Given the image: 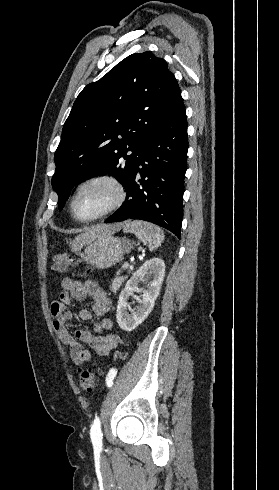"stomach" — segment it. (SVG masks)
Here are the masks:
<instances>
[{
    "instance_id": "obj_1",
    "label": "stomach",
    "mask_w": 279,
    "mask_h": 490,
    "mask_svg": "<svg viewBox=\"0 0 279 490\" xmlns=\"http://www.w3.org/2000/svg\"><path fill=\"white\" fill-rule=\"evenodd\" d=\"M71 248L72 252H79L83 248V252L79 256L83 258L86 264H90L97 270H107V268H112L121 262L124 254H128L133 246L127 238H115L112 234H108V236H101L96 240H88L87 244L81 248L72 242Z\"/></svg>"
}]
</instances>
